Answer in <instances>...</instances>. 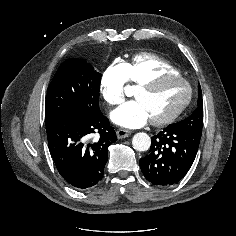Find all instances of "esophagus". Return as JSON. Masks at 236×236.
<instances>
[{
  "instance_id": "esophagus-1",
  "label": "esophagus",
  "mask_w": 236,
  "mask_h": 236,
  "mask_svg": "<svg viewBox=\"0 0 236 236\" xmlns=\"http://www.w3.org/2000/svg\"><path fill=\"white\" fill-rule=\"evenodd\" d=\"M116 134H117V137L119 139H122V138H126V137L130 136L131 135V131L127 130V129L120 128V129H118L116 131Z\"/></svg>"
}]
</instances>
